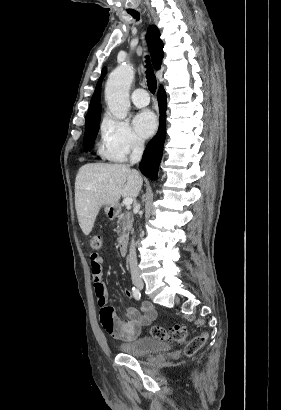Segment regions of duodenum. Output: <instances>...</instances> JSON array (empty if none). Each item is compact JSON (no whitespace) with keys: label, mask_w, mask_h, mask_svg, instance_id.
<instances>
[{"label":"duodenum","mask_w":281,"mask_h":410,"mask_svg":"<svg viewBox=\"0 0 281 410\" xmlns=\"http://www.w3.org/2000/svg\"><path fill=\"white\" fill-rule=\"evenodd\" d=\"M116 211H113L112 217H114ZM127 246H128V240L126 237H123L119 240V252L122 256H125L127 254Z\"/></svg>","instance_id":"1"}]
</instances>
